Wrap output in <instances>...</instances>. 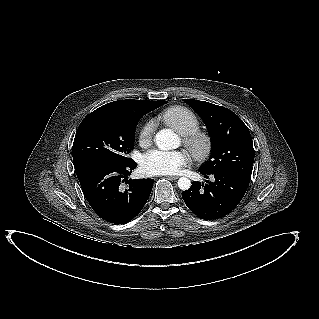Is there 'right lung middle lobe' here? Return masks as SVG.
Masks as SVG:
<instances>
[{
  "mask_svg": "<svg viewBox=\"0 0 319 319\" xmlns=\"http://www.w3.org/2000/svg\"><path fill=\"white\" fill-rule=\"evenodd\" d=\"M131 109H96L88 114L77 129L73 142L76 174L97 164L126 165L134 147L135 128L139 119L149 111L166 104Z\"/></svg>",
  "mask_w": 319,
  "mask_h": 319,
  "instance_id": "1",
  "label": "right lung middle lobe"
}]
</instances>
